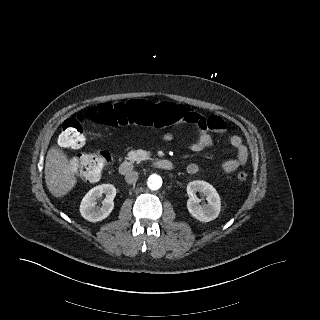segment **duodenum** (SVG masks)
Returning <instances> with one entry per match:
<instances>
[{
	"label": "duodenum",
	"mask_w": 320,
	"mask_h": 320,
	"mask_svg": "<svg viewBox=\"0 0 320 320\" xmlns=\"http://www.w3.org/2000/svg\"><path fill=\"white\" fill-rule=\"evenodd\" d=\"M152 165L160 170L172 171L174 169V164L167 159H156L152 162ZM134 169V163L130 160L123 161L119 166V172L125 175Z\"/></svg>",
	"instance_id": "1"
}]
</instances>
